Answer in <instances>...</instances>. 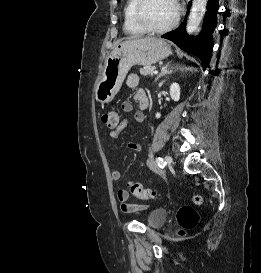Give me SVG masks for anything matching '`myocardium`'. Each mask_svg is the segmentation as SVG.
<instances>
[{
    "label": "myocardium",
    "mask_w": 261,
    "mask_h": 273,
    "mask_svg": "<svg viewBox=\"0 0 261 273\" xmlns=\"http://www.w3.org/2000/svg\"><path fill=\"white\" fill-rule=\"evenodd\" d=\"M147 2L148 0H136V3L133 8V20L136 23V25L139 28H141L144 32L165 33L172 30L177 25L180 18V10L176 0H174L175 6H176L175 18L168 25L163 27H152L143 20L141 12Z\"/></svg>",
    "instance_id": "1"
}]
</instances>
